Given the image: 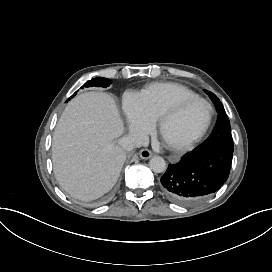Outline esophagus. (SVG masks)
Returning a JSON list of instances; mask_svg holds the SVG:
<instances>
[{"label":"esophagus","mask_w":272,"mask_h":272,"mask_svg":"<svg viewBox=\"0 0 272 272\" xmlns=\"http://www.w3.org/2000/svg\"><path fill=\"white\" fill-rule=\"evenodd\" d=\"M139 156L140 158L142 159H149L153 156V153L151 150L149 149H142L140 152H139Z\"/></svg>","instance_id":"obj_1"}]
</instances>
